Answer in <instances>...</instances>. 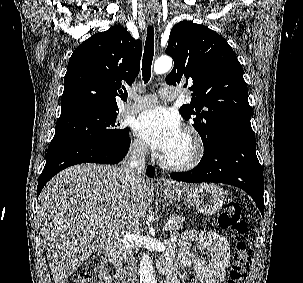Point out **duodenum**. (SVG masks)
<instances>
[{"label":"duodenum","instance_id":"duodenum-1","mask_svg":"<svg viewBox=\"0 0 303 283\" xmlns=\"http://www.w3.org/2000/svg\"><path fill=\"white\" fill-rule=\"evenodd\" d=\"M117 257V251L114 248H109L106 252V258L109 261H114ZM170 262L167 259H162L157 264L158 271L166 276L165 283H175V280L172 277L171 271H170ZM119 283H128V279L124 274H121L119 277Z\"/></svg>","mask_w":303,"mask_h":283}]
</instances>
